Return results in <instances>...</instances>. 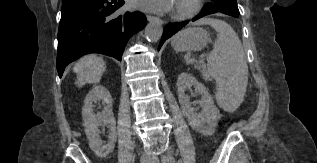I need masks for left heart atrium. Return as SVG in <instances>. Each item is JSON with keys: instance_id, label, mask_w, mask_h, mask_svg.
Masks as SVG:
<instances>
[{"instance_id": "obj_1", "label": "left heart atrium", "mask_w": 317, "mask_h": 163, "mask_svg": "<svg viewBox=\"0 0 317 163\" xmlns=\"http://www.w3.org/2000/svg\"><path fill=\"white\" fill-rule=\"evenodd\" d=\"M176 1L177 0H131L132 3L141 9L158 13L170 11Z\"/></svg>"}]
</instances>
